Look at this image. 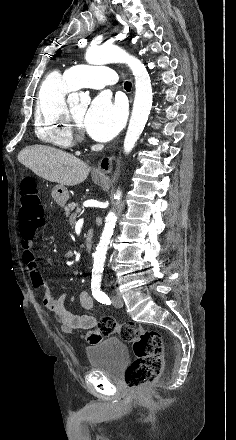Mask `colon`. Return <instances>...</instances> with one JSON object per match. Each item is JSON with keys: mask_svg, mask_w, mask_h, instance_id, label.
Masks as SVG:
<instances>
[{"mask_svg": "<svg viewBox=\"0 0 236 440\" xmlns=\"http://www.w3.org/2000/svg\"><path fill=\"white\" fill-rule=\"evenodd\" d=\"M20 201V231L24 237L31 239L36 230L45 223L44 205L33 179L25 178L21 182ZM98 325L103 337L118 333L122 340L132 344L135 359L125 372V382L130 389H139L160 376L164 348L162 338L156 330L144 329L139 323L132 321L118 324L110 317L101 318ZM101 339L87 340L96 343Z\"/></svg>", "mask_w": 236, "mask_h": 440, "instance_id": "obj_1", "label": "colon"}]
</instances>
